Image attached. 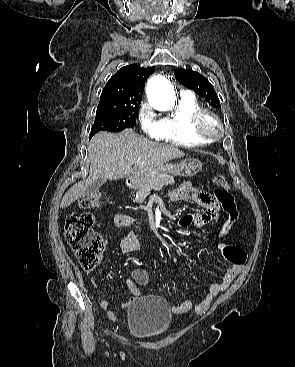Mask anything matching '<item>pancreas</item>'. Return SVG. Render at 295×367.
<instances>
[{
    "mask_svg": "<svg viewBox=\"0 0 295 367\" xmlns=\"http://www.w3.org/2000/svg\"><path fill=\"white\" fill-rule=\"evenodd\" d=\"M174 178L171 175H162L153 181L141 186L137 192V201L143 202L152 190L159 191L163 186L173 185Z\"/></svg>",
    "mask_w": 295,
    "mask_h": 367,
    "instance_id": "pancreas-1",
    "label": "pancreas"
}]
</instances>
